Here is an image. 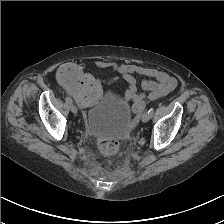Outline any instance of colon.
Returning a JSON list of instances; mask_svg holds the SVG:
<instances>
[{
    "instance_id": "5ec220e1",
    "label": "colon",
    "mask_w": 224,
    "mask_h": 224,
    "mask_svg": "<svg viewBox=\"0 0 224 224\" xmlns=\"http://www.w3.org/2000/svg\"><path fill=\"white\" fill-rule=\"evenodd\" d=\"M59 77L71 96L81 105L90 106L98 100V91L92 87L91 76L80 67L68 64L59 71ZM144 103H136L134 111H139ZM97 147L100 153L112 156L119 153L120 143L112 138H101L97 140Z\"/></svg>"
}]
</instances>
